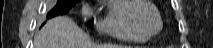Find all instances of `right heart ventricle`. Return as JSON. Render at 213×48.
<instances>
[{
  "mask_svg": "<svg viewBox=\"0 0 213 48\" xmlns=\"http://www.w3.org/2000/svg\"><path fill=\"white\" fill-rule=\"evenodd\" d=\"M134 1L112 0L98 24L101 32L124 42L141 43L148 38L138 33L129 19V12Z\"/></svg>",
  "mask_w": 213,
  "mask_h": 48,
  "instance_id": "right-heart-ventricle-1",
  "label": "right heart ventricle"
}]
</instances>
